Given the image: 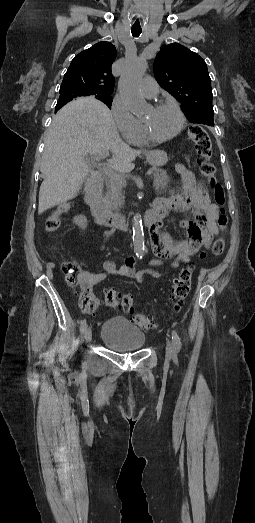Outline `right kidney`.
<instances>
[{"label":"right kidney","mask_w":255,"mask_h":523,"mask_svg":"<svg viewBox=\"0 0 255 523\" xmlns=\"http://www.w3.org/2000/svg\"><path fill=\"white\" fill-rule=\"evenodd\" d=\"M73 222L74 224H76V226H80V228H83V230L87 226L86 216H75Z\"/></svg>","instance_id":"right-kidney-1"}]
</instances>
